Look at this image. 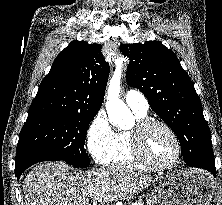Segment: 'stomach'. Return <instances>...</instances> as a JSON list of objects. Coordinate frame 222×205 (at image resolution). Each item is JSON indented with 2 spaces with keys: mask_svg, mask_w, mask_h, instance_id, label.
Masks as SVG:
<instances>
[{
  "mask_svg": "<svg viewBox=\"0 0 222 205\" xmlns=\"http://www.w3.org/2000/svg\"><path fill=\"white\" fill-rule=\"evenodd\" d=\"M212 185L206 174L182 170L160 178L148 205H210Z\"/></svg>",
  "mask_w": 222,
  "mask_h": 205,
  "instance_id": "0dacf381",
  "label": "stomach"
}]
</instances>
